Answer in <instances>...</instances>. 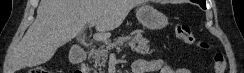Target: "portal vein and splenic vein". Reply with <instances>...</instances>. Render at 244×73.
Segmentation results:
<instances>
[{"label": "portal vein and splenic vein", "instance_id": "portal-vein-and-splenic-vein-1", "mask_svg": "<svg viewBox=\"0 0 244 73\" xmlns=\"http://www.w3.org/2000/svg\"><path fill=\"white\" fill-rule=\"evenodd\" d=\"M95 25V21H92L89 23V28L93 27Z\"/></svg>", "mask_w": 244, "mask_h": 73}]
</instances>
